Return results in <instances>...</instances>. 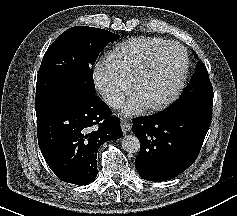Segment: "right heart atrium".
Here are the masks:
<instances>
[{"label":"right heart atrium","mask_w":237,"mask_h":216,"mask_svg":"<svg viewBox=\"0 0 237 216\" xmlns=\"http://www.w3.org/2000/svg\"><path fill=\"white\" fill-rule=\"evenodd\" d=\"M90 84L100 88L101 93L113 103H120L126 96V90L113 79L104 68H97L90 72Z\"/></svg>","instance_id":"d8ad5b80"}]
</instances>
